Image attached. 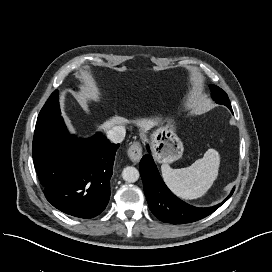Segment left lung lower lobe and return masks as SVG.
<instances>
[{
	"mask_svg": "<svg viewBox=\"0 0 272 272\" xmlns=\"http://www.w3.org/2000/svg\"><path fill=\"white\" fill-rule=\"evenodd\" d=\"M229 109L232 111V107ZM140 175L149 208L164 223L184 224L200 220L217 210L234 192L233 188L230 195L222 203L213 207L198 208L191 206L177 198L167 188L150 154L144 155L140 161Z\"/></svg>",
	"mask_w": 272,
	"mask_h": 272,
	"instance_id": "1",
	"label": "left lung lower lobe"
}]
</instances>
